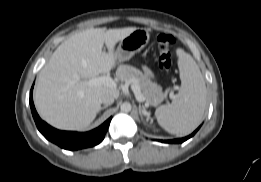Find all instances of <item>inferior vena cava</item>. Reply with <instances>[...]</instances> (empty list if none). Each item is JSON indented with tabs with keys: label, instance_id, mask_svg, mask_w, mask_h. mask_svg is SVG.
<instances>
[{
	"label": "inferior vena cava",
	"instance_id": "602c4592",
	"mask_svg": "<svg viewBox=\"0 0 261 182\" xmlns=\"http://www.w3.org/2000/svg\"><path fill=\"white\" fill-rule=\"evenodd\" d=\"M114 97L110 94H106V95H103L102 98H101V103L105 104V105H111L113 104L114 102Z\"/></svg>",
	"mask_w": 261,
	"mask_h": 182
}]
</instances>
